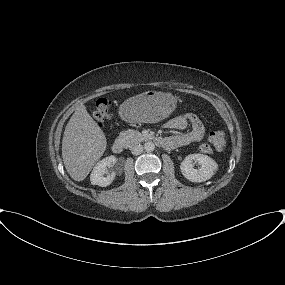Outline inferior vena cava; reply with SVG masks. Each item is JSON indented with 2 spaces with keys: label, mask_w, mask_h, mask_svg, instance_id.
Here are the masks:
<instances>
[{
  "label": "inferior vena cava",
  "mask_w": 285,
  "mask_h": 285,
  "mask_svg": "<svg viewBox=\"0 0 285 285\" xmlns=\"http://www.w3.org/2000/svg\"><path fill=\"white\" fill-rule=\"evenodd\" d=\"M133 155H140L143 152V147L141 145H135L131 148Z\"/></svg>",
  "instance_id": "602c4592"
}]
</instances>
